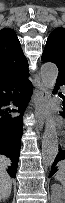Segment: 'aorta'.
<instances>
[{"label":"aorta","mask_w":65,"mask_h":203,"mask_svg":"<svg viewBox=\"0 0 65 203\" xmlns=\"http://www.w3.org/2000/svg\"><path fill=\"white\" fill-rule=\"evenodd\" d=\"M40 76L45 90H52L58 77V68L54 63H44L41 66ZM59 151L58 134L53 117L47 119L42 137V162L50 167Z\"/></svg>","instance_id":"1"}]
</instances>
